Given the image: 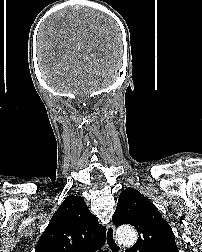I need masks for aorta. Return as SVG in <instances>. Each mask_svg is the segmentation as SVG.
<instances>
[{
	"label": "aorta",
	"mask_w": 202,
	"mask_h": 252,
	"mask_svg": "<svg viewBox=\"0 0 202 252\" xmlns=\"http://www.w3.org/2000/svg\"><path fill=\"white\" fill-rule=\"evenodd\" d=\"M117 239L123 244H134L137 240V233L132 227H122L117 230Z\"/></svg>",
	"instance_id": "1"
}]
</instances>
